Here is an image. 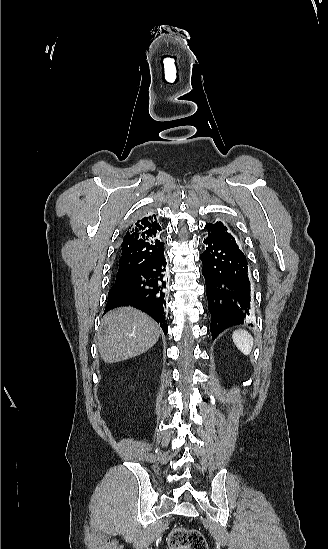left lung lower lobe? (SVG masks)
<instances>
[{
    "mask_svg": "<svg viewBox=\"0 0 328 549\" xmlns=\"http://www.w3.org/2000/svg\"><path fill=\"white\" fill-rule=\"evenodd\" d=\"M203 243L206 249L200 259L211 313L210 331L215 339L230 326L252 321V292L244 253L211 236Z\"/></svg>",
    "mask_w": 328,
    "mask_h": 549,
    "instance_id": "obj_1",
    "label": "left lung lower lobe"
}]
</instances>
